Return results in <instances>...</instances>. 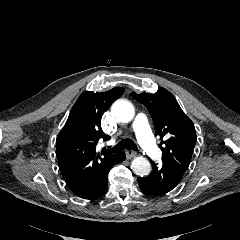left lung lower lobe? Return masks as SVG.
<instances>
[{
  "instance_id": "1",
  "label": "left lung lower lobe",
  "mask_w": 240,
  "mask_h": 240,
  "mask_svg": "<svg viewBox=\"0 0 240 240\" xmlns=\"http://www.w3.org/2000/svg\"><path fill=\"white\" fill-rule=\"evenodd\" d=\"M153 170L147 177L138 178L139 186L147 195L157 196L172 191L182 177L165 165L152 162Z\"/></svg>"
}]
</instances>
